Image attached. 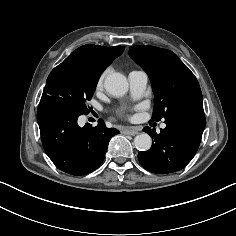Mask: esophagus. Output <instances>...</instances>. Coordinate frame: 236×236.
I'll use <instances>...</instances> for the list:
<instances>
[{"mask_svg": "<svg viewBox=\"0 0 236 236\" xmlns=\"http://www.w3.org/2000/svg\"><path fill=\"white\" fill-rule=\"evenodd\" d=\"M122 133L125 135L135 136L138 134V131L135 129H128V130H123Z\"/></svg>", "mask_w": 236, "mask_h": 236, "instance_id": "34e87169", "label": "esophagus"}]
</instances>
